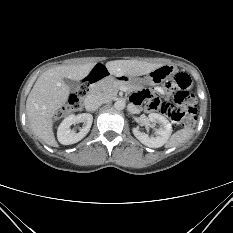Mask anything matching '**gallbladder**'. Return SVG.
Returning <instances> with one entry per match:
<instances>
[{"mask_svg":"<svg viewBox=\"0 0 233 233\" xmlns=\"http://www.w3.org/2000/svg\"><path fill=\"white\" fill-rule=\"evenodd\" d=\"M64 82L69 87L70 91L75 92L79 88V82L71 79H64Z\"/></svg>","mask_w":233,"mask_h":233,"instance_id":"bac80fb5","label":"gallbladder"}]
</instances>
